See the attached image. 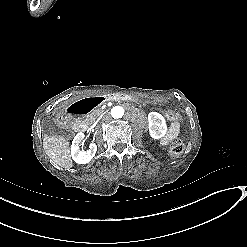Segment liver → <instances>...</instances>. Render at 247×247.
Returning a JSON list of instances; mask_svg holds the SVG:
<instances>
[{
  "instance_id": "1",
  "label": "liver",
  "mask_w": 247,
  "mask_h": 247,
  "mask_svg": "<svg viewBox=\"0 0 247 247\" xmlns=\"http://www.w3.org/2000/svg\"><path fill=\"white\" fill-rule=\"evenodd\" d=\"M55 113H53L54 115ZM43 148L46 155L50 158L51 164L60 169L69 170L73 167L70 155L69 142L63 137L44 135Z\"/></svg>"
}]
</instances>
